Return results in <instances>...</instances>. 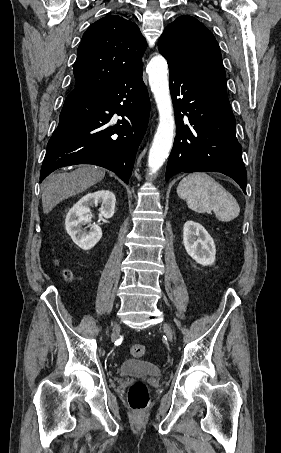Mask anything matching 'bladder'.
<instances>
[{
	"label": "bladder",
	"mask_w": 281,
	"mask_h": 453,
	"mask_svg": "<svg viewBox=\"0 0 281 453\" xmlns=\"http://www.w3.org/2000/svg\"><path fill=\"white\" fill-rule=\"evenodd\" d=\"M120 373L127 376L155 377L160 374V370L148 362L128 360L121 364Z\"/></svg>",
	"instance_id": "31cf9c89"
}]
</instances>
